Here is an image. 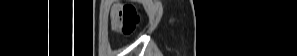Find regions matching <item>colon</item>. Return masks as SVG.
<instances>
[{"label":"colon","mask_w":297,"mask_h":56,"mask_svg":"<svg viewBox=\"0 0 297 56\" xmlns=\"http://www.w3.org/2000/svg\"><path fill=\"white\" fill-rule=\"evenodd\" d=\"M119 24L118 31L124 35L132 34L140 20V15L134 5L125 3L117 9Z\"/></svg>","instance_id":"1"}]
</instances>
